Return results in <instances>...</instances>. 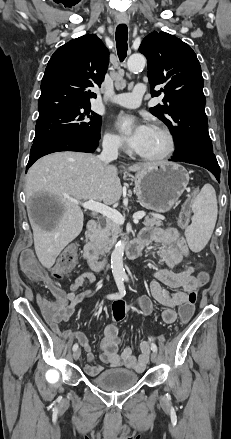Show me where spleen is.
I'll return each mask as SVG.
<instances>
[{
  "mask_svg": "<svg viewBox=\"0 0 231 439\" xmlns=\"http://www.w3.org/2000/svg\"><path fill=\"white\" fill-rule=\"evenodd\" d=\"M194 216L186 230V238L190 249L201 251L213 233L217 220V198L212 185L205 184L192 204Z\"/></svg>",
  "mask_w": 231,
  "mask_h": 439,
  "instance_id": "obj_1",
  "label": "spleen"
}]
</instances>
